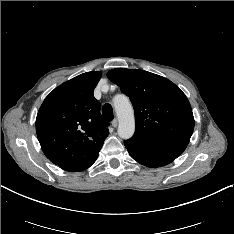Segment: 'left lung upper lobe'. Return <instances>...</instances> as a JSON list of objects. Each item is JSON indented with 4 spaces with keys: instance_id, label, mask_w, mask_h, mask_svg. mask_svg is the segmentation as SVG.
Returning a JSON list of instances; mask_svg holds the SVG:
<instances>
[{
    "instance_id": "obj_1",
    "label": "left lung upper lobe",
    "mask_w": 234,
    "mask_h": 234,
    "mask_svg": "<svg viewBox=\"0 0 234 234\" xmlns=\"http://www.w3.org/2000/svg\"><path fill=\"white\" fill-rule=\"evenodd\" d=\"M107 76L129 96L134 107L136 131L130 141L188 144L194 117L187 97L178 86L144 70L116 68Z\"/></svg>"
}]
</instances>
